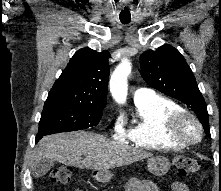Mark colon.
Wrapping results in <instances>:
<instances>
[{"label":"colon","mask_w":221,"mask_h":191,"mask_svg":"<svg viewBox=\"0 0 221 191\" xmlns=\"http://www.w3.org/2000/svg\"><path fill=\"white\" fill-rule=\"evenodd\" d=\"M174 166L182 177H190L198 170V162L188 157L176 158ZM71 176L72 170L69 167L61 166L52 172L51 180L53 183L66 185L70 182Z\"/></svg>","instance_id":"obj_1"}]
</instances>
